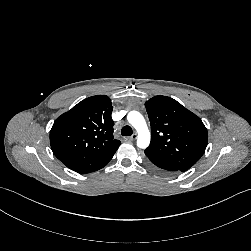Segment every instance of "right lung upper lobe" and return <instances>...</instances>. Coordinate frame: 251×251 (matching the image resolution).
Returning a JSON list of instances; mask_svg holds the SVG:
<instances>
[{
	"label": "right lung upper lobe",
	"instance_id": "right-lung-upper-lobe-1",
	"mask_svg": "<svg viewBox=\"0 0 251 251\" xmlns=\"http://www.w3.org/2000/svg\"><path fill=\"white\" fill-rule=\"evenodd\" d=\"M113 107L106 95L84 99L54 122L50 144L55 156L78 173L103 168L121 142L113 137Z\"/></svg>",
	"mask_w": 251,
	"mask_h": 251
}]
</instances>
